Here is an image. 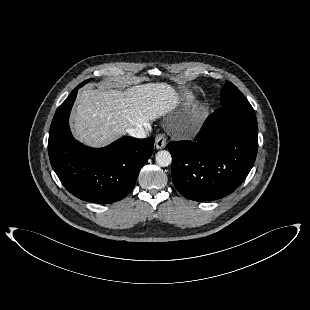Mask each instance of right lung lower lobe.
Segmentation results:
<instances>
[{
	"mask_svg": "<svg viewBox=\"0 0 310 310\" xmlns=\"http://www.w3.org/2000/svg\"><path fill=\"white\" fill-rule=\"evenodd\" d=\"M78 85L58 107L51 123L48 153L64 187L84 201L108 204L133 189L142 165L151 156L154 138L122 137L104 148H90L72 136L68 119Z\"/></svg>",
	"mask_w": 310,
	"mask_h": 310,
	"instance_id": "1",
	"label": "right lung lower lobe"
}]
</instances>
